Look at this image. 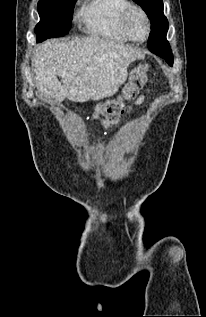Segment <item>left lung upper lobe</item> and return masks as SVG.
<instances>
[{
    "instance_id": "left-lung-upper-lobe-1",
    "label": "left lung upper lobe",
    "mask_w": 206,
    "mask_h": 317,
    "mask_svg": "<svg viewBox=\"0 0 206 317\" xmlns=\"http://www.w3.org/2000/svg\"><path fill=\"white\" fill-rule=\"evenodd\" d=\"M140 5L151 20V33L147 45L155 41H167L168 21L163 14L162 0H133ZM168 42V41H167ZM170 66L173 64L172 54L166 60Z\"/></svg>"
}]
</instances>
